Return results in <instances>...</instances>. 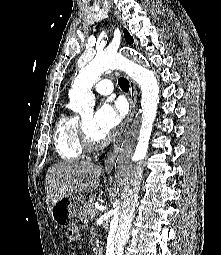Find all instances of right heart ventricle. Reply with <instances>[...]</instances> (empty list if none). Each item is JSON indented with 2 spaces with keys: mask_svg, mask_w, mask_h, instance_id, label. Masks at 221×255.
<instances>
[{
  "mask_svg": "<svg viewBox=\"0 0 221 255\" xmlns=\"http://www.w3.org/2000/svg\"><path fill=\"white\" fill-rule=\"evenodd\" d=\"M54 145L57 154L65 161H75L84 157L86 149L80 135V120L71 113H63L56 124Z\"/></svg>",
  "mask_w": 221,
  "mask_h": 255,
  "instance_id": "1",
  "label": "right heart ventricle"
}]
</instances>
